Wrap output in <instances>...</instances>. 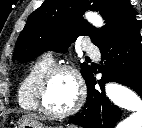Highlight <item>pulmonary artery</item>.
Instances as JSON below:
<instances>
[{
    "label": "pulmonary artery",
    "mask_w": 142,
    "mask_h": 128,
    "mask_svg": "<svg viewBox=\"0 0 142 128\" xmlns=\"http://www.w3.org/2000/svg\"><path fill=\"white\" fill-rule=\"evenodd\" d=\"M84 49L86 53L92 57L98 58L100 55L99 49L91 43H86ZM45 57L53 60L52 53L50 51L45 54Z\"/></svg>",
    "instance_id": "1"
}]
</instances>
